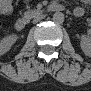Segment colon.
<instances>
[{
  "label": "colon",
  "instance_id": "1",
  "mask_svg": "<svg viewBox=\"0 0 91 91\" xmlns=\"http://www.w3.org/2000/svg\"><path fill=\"white\" fill-rule=\"evenodd\" d=\"M10 6V2L9 1H2L1 3V8L3 12H7L8 8Z\"/></svg>",
  "mask_w": 91,
  "mask_h": 91
}]
</instances>
